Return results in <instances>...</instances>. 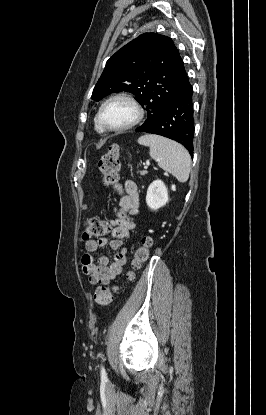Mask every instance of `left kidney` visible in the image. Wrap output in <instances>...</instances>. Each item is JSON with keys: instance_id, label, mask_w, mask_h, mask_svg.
Segmentation results:
<instances>
[{"instance_id": "obj_1", "label": "left kidney", "mask_w": 266, "mask_h": 415, "mask_svg": "<svg viewBox=\"0 0 266 415\" xmlns=\"http://www.w3.org/2000/svg\"><path fill=\"white\" fill-rule=\"evenodd\" d=\"M168 202V190L161 180L153 181L147 190L146 203L152 210H157Z\"/></svg>"}]
</instances>
